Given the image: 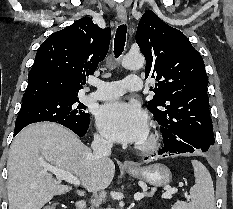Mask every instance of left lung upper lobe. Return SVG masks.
Instances as JSON below:
<instances>
[{
  "label": "left lung upper lobe",
  "instance_id": "1",
  "mask_svg": "<svg viewBox=\"0 0 233 209\" xmlns=\"http://www.w3.org/2000/svg\"><path fill=\"white\" fill-rule=\"evenodd\" d=\"M136 42L145 56V78H155L148 108L161 127L214 144L204 61L188 38L153 11L141 17Z\"/></svg>",
  "mask_w": 233,
  "mask_h": 209
}]
</instances>
